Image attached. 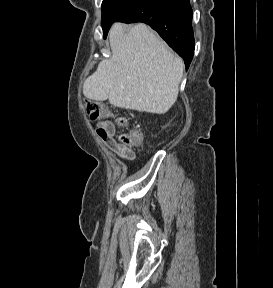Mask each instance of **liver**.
Wrapping results in <instances>:
<instances>
[{
	"label": "liver",
	"instance_id": "liver-1",
	"mask_svg": "<svg viewBox=\"0 0 273 288\" xmlns=\"http://www.w3.org/2000/svg\"><path fill=\"white\" fill-rule=\"evenodd\" d=\"M112 56L99 63L83 84V94L115 107L155 114L175 103L184 64L145 24L128 31L115 23L109 32Z\"/></svg>",
	"mask_w": 273,
	"mask_h": 288
}]
</instances>
